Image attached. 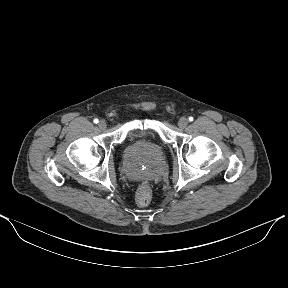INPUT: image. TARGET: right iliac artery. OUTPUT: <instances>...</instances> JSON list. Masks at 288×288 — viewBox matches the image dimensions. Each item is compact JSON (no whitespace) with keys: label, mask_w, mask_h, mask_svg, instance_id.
I'll return each mask as SVG.
<instances>
[{"label":"right iliac artery","mask_w":288,"mask_h":288,"mask_svg":"<svg viewBox=\"0 0 288 288\" xmlns=\"http://www.w3.org/2000/svg\"><path fill=\"white\" fill-rule=\"evenodd\" d=\"M93 122H94L95 124H97L99 121H98V119L96 118V119L93 120Z\"/></svg>","instance_id":"1"}]
</instances>
